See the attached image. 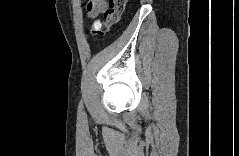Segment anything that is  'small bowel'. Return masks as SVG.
<instances>
[{"mask_svg":"<svg viewBox=\"0 0 239 156\" xmlns=\"http://www.w3.org/2000/svg\"><path fill=\"white\" fill-rule=\"evenodd\" d=\"M108 7L106 0H91L86 5V11L89 18H96L104 13Z\"/></svg>","mask_w":239,"mask_h":156,"instance_id":"1","label":"small bowel"}]
</instances>
